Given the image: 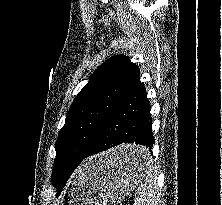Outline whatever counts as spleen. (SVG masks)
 Wrapping results in <instances>:
<instances>
[{"mask_svg":"<svg viewBox=\"0 0 222 205\" xmlns=\"http://www.w3.org/2000/svg\"><path fill=\"white\" fill-rule=\"evenodd\" d=\"M157 173L150 164L145 181L138 187L135 195V205H158Z\"/></svg>","mask_w":222,"mask_h":205,"instance_id":"obj_1","label":"spleen"}]
</instances>
